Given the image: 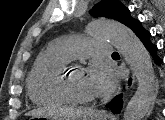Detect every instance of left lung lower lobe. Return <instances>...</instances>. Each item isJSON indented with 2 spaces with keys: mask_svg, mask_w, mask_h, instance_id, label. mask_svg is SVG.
<instances>
[{
  "mask_svg": "<svg viewBox=\"0 0 165 120\" xmlns=\"http://www.w3.org/2000/svg\"><path fill=\"white\" fill-rule=\"evenodd\" d=\"M142 41L146 49L150 52L152 57L155 59L156 64H161L162 60L156 55L157 46L152 44L149 40L150 32L142 27L141 22L135 19L129 27ZM122 95L116 96L111 103L107 104L106 107L110 108L113 113H119L122 107Z\"/></svg>",
  "mask_w": 165,
  "mask_h": 120,
  "instance_id": "0a47b994",
  "label": "left lung lower lobe"
}]
</instances>
